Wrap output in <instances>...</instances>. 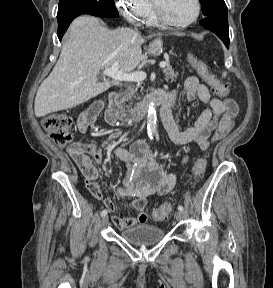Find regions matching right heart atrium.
<instances>
[{
  "instance_id": "1",
  "label": "right heart atrium",
  "mask_w": 273,
  "mask_h": 288,
  "mask_svg": "<svg viewBox=\"0 0 273 288\" xmlns=\"http://www.w3.org/2000/svg\"><path fill=\"white\" fill-rule=\"evenodd\" d=\"M115 4L123 17L133 24L143 21L151 10L148 0H115Z\"/></svg>"
}]
</instances>
